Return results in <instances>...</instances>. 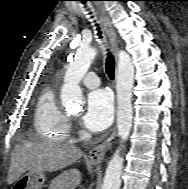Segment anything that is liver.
<instances>
[{"label":"liver","instance_id":"1","mask_svg":"<svg viewBox=\"0 0 188 189\" xmlns=\"http://www.w3.org/2000/svg\"><path fill=\"white\" fill-rule=\"evenodd\" d=\"M82 155L83 152L71 144L24 142L16 146L12 153L7 183L13 184L26 171L52 172L63 169ZM60 177L62 189H74L81 182V173L77 169L65 171Z\"/></svg>","mask_w":188,"mask_h":189}]
</instances>
